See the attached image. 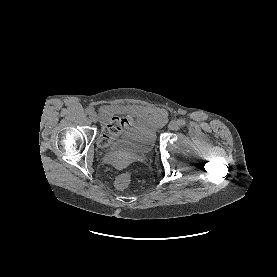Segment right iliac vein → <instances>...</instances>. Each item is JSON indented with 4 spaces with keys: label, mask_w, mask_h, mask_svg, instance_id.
<instances>
[{
    "label": "right iliac vein",
    "mask_w": 277,
    "mask_h": 277,
    "mask_svg": "<svg viewBox=\"0 0 277 277\" xmlns=\"http://www.w3.org/2000/svg\"><path fill=\"white\" fill-rule=\"evenodd\" d=\"M90 119H91L92 122L96 123L97 120H98L97 114L95 112H92L90 114Z\"/></svg>",
    "instance_id": "63e3f726"
}]
</instances>
